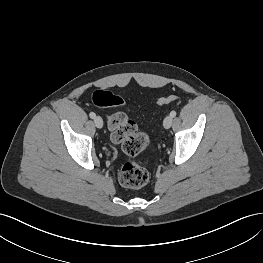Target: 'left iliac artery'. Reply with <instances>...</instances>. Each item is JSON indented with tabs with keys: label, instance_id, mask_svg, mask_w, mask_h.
<instances>
[{
	"label": "left iliac artery",
	"instance_id": "left-iliac-artery-1",
	"mask_svg": "<svg viewBox=\"0 0 263 263\" xmlns=\"http://www.w3.org/2000/svg\"><path fill=\"white\" fill-rule=\"evenodd\" d=\"M170 116H171V117H175V116H176V111H174V110L171 111V112H170Z\"/></svg>",
	"mask_w": 263,
	"mask_h": 263
}]
</instances>
